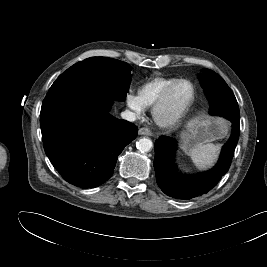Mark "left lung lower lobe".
Here are the masks:
<instances>
[{
	"instance_id": "0a47b994",
	"label": "left lung lower lobe",
	"mask_w": 267,
	"mask_h": 267,
	"mask_svg": "<svg viewBox=\"0 0 267 267\" xmlns=\"http://www.w3.org/2000/svg\"><path fill=\"white\" fill-rule=\"evenodd\" d=\"M213 115L225 117L232 122V134L223 146L216 166L210 171L197 175H183L177 171L174 153L177 141L172 137L161 136L155 142L154 168L156 181L162 191L178 199H191L212 189L228 171L240 132V113L238 104L227 110H218Z\"/></svg>"
}]
</instances>
